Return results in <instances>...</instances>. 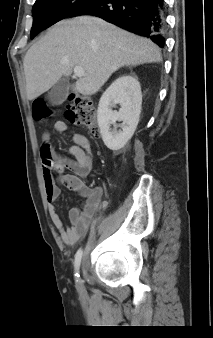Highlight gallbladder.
I'll return each mask as SVG.
<instances>
[{"mask_svg": "<svg viewBox=\"0 0 213 338\" xmlns=\"http://www.w3.org/2000/svg\"><path fill=\"white\" fill-rule=\"evenodd\" d=\"M70 90V83L67 79H60L56 84L52 86L48 93V100L52 105L62 104Z\"/></svg>", "mask_w": 213, "mask_h": 338, "instance_id": "obj_1", "label": "gallbladder"}]
</instances>
